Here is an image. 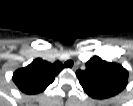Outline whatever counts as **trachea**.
<instances>
[{
	"label": "trachea",
	"instance_id": "trachea-1",
	"mask_svg": "<svg viewBox=\"0 0 133 106\" xmlns=\"http://www.w3.org/2000/svg\"><path fill=\"white\" fill-rule=\"evenodd\" d=\"M73 64H74V63H73L72 60H68V61H66V62L64 63V66H65V67H70V68H71V67L73 66Z\"/></svg>",
	"mask_w": 133,
	"mask_h": 106
}]
</instances>
